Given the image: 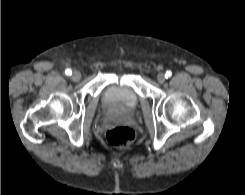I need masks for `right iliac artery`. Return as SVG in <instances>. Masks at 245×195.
Returning a JSON list of instances; mask_svg holds the SVG:
<instances>
[{
	"label": "right iliac artery",
	"mask_w": 245,
	"mask_h": 195,
	"mask_svg": "<svg viewBox=\"0 0 245 195\" xmlns=\"http://www.w3.org/2000/svg\"><path fill=\"white\" fill-rule=\"evenodd\" d=\"M65 74L69 76V75L72 74V71H71L70 69H66V70H65Z\"/></svg>",
	"instance_id": "right-iliac-artery-1"
}]
</instances>
